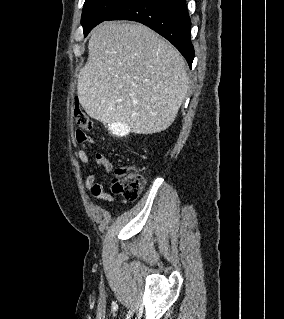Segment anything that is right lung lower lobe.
<instances>
[{
  "label": "right lung lower lobe",
  "instance_id": "obj_1",
  "mask_svg": "<svg viewBox=\"0 0 284 319\" xmlns=\"http://www.w3.org/2000/svg\"><path fill=\"white\" fill-rule=\"evenodd\" d=\"M107 20H132L150 27L169 40L191 67L194 47L185 0H132Z\"/></svg>",
  "mask_w": 284,
  "mask_h": 319
}]
</instances>
